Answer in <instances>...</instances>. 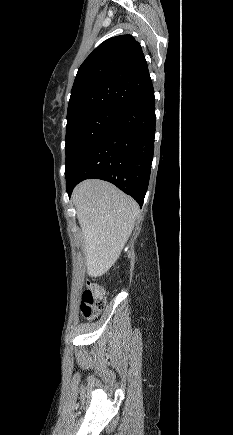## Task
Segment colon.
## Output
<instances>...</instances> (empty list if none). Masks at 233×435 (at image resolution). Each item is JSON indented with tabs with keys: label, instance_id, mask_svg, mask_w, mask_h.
I'll return each instance as SVG.
<instances>
[{
	"label": "colon",
	"instance_id": "5ec220e1",
	"mask_svg": "<svg viewBox=\"0 0 233 435\" xmlns=\"http://www.w3.org/2000/svg\"><path fill=\"white\" fill-rule=\"evenodd\" d=\"M105 306L103 288L96 283H88L82 294L80 311L83 317L93 319L99 315Z\"/></svg>",
	"mask_w": 233,
	"mask_h": 435
}]
</instances>
